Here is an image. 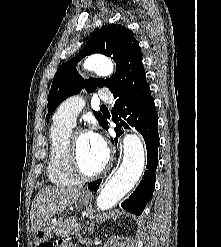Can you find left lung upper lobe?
<instances>
[{
    "label": "left lung upper lobe",
    "mask_w": 221,
    "mask_h": 247,
    "mask_svg": "<svg viewBox=\"0 0 221 247\" xmlns=\"http://www.w3.org/2000/svg\"><path fill=\"white\" fill-rule=\"evenodd\" d=\"M92 53L110 56L116 62V72L111 78L84 80L77 73L76 63ZM103 86L108 87L118 100L150 91L139 43L133 32L122 25L110 24L102 27L90 37L73 59L59 67L49 91L47 122L50 114L66 98L78 94L82 88L93 92L97 87ZM93 114L103 126L106 117L96 111Z\"/></svg>",
    "instance_id": "1"
}]
</instances>
